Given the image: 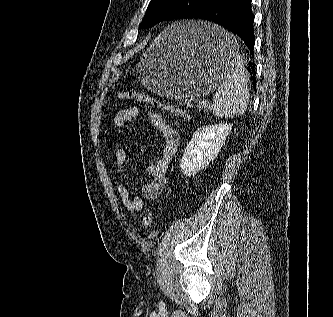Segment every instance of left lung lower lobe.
Returning <instances> with one entry per match:
<instances>
[{"instance_id":"left-lung-lower-lobe-1","label":"left lung lower lobe","mask_w":333,"mask_h":317,"mask_svg":"<svg viewBox=\"0 0 333 317\" xmlns=\"http://www.w3.org/2000/svg\"><path fill=\"white\" fill-rule=\"evenodd\" d=\"M186 19L206 20L237 34L253 55L255 37L251 0H213L210 4L190 13ZM254 67V64H250L247 69L253 74L251 82L256 86Z\"/></svg>"}]
</instances>
